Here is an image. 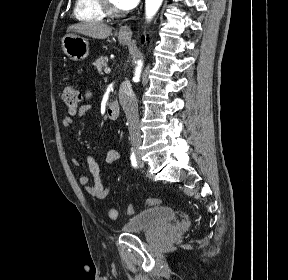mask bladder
Instances as JSON below:
<instances>
[{"label":"bladder","instance_id":"bladder-1","mask_svg":"<svg viewBox=\"0 0 288 280\" xmlns=\"http://www.w3.org/2000/svg\"><path fill=\"white\" fill-rule=\"evenodd\" d=\"M177 218V212L168 206L145 209L130 217L122 226L125 233L152 232L163 229Z\"/></svg>","mask_w":288,"mask_h":280}]
</instances>
